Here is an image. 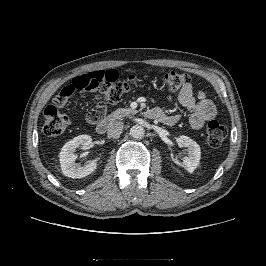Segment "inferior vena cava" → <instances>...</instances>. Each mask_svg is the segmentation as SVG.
I'll return each mask as SVG.
<instances>
[{"label": "inferior vena cava", "mask_w": 266, "mask_h": 266, "mask_svg": "<svg viewBox=\"0 0 266 266\" xmlns=\"http://www.w3.org/2000/svg\"><path fill=\"white\" fill-rule=\"evenodd\" d=\"M123 127H124V124L121 121H116L112 123L110 127L108 128V132H107L108 137L113 138V139L118 138L122 133Z\"/></svg>", "instance_id": "602c4592"}]
</instances>
